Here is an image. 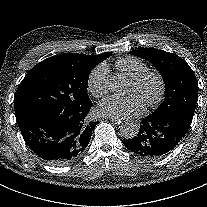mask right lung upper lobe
Here are the masks:
<instances>
[{"label":"right lung upper lobe","mask_w":207,"mask_h":207,"mask_svg":"<svg viewBox=\"0 0 207 207\" xmlns=\"http://www.w3.org/2000/svg\"><path fill=\"white\" fill-rule=\"evenodd\" d=\"M111 55V52H106L97 56H89L84 54H67L64 53L62 55L53 56L47 59H60V60H68L72 63L78 65L81 68H86L92 70L97 64L105 60Z\"/></svg>","instance_id":"1"}]
</instances>
